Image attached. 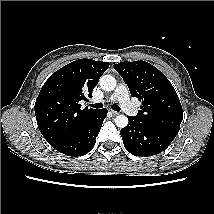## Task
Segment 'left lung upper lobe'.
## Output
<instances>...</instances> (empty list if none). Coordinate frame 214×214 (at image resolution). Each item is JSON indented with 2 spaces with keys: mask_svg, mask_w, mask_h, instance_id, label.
<instances>
[{
  "mask_svg": "<svg viewBox=\"0 0 214 214\" xmlns=\"http://www.w3.org/2000/svg\"><path fill=\"white\" fill-rule=\"evenodd\" d=\"M128 85L131 96L142 101L139 121L179 131L183 110L170 81L156 67L145 61L113 65Z\"/></svg>",
  "mask_w": 214,
  "mask_h": 214,
  "instance_id": "obj_1",
  "label": "left lung upper lobe"
}]
</instances>
